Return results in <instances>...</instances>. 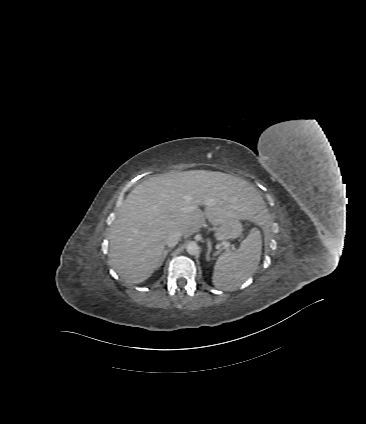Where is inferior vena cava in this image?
Returning a JSON list of instances; mask_svg holds the SVG:
<instances>
[{"label":"inferior vena cava","instance_id":"inferior-vena-cava-1","mask_svg":"<svg viewBox=\"0 0 366 424\" xmlns=\"http://www.w3.org/2000/svg\"><path fill=\"white\" fill-rule=\"evenodd\" d=\"M182 234L179 231L170 233L165 240V244L168 247H174L181 239Z\"/></svg>","mask_w":366,"mask_h":424}]
</instances>
